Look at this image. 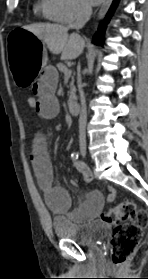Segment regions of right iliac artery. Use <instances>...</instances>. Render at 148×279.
<instances>
[{
  "mask_svg": "<svg viewBox=\"0 0 148 279\" xmlns=\"http://www.w3.org/2000/svg\"><path fill=\"white\" fill-rule=\"evenodd\" d=\"M78 156H79V154H78L77 152H74V153H72V155H71V157H72L73 159H77Z\"/></svg>",
  "mask_w": 148,
  "mask_h": 279,
  "instance_id": "right-iliac-artery-1",
  "label": "right iliac artery"
}]
</instances>
